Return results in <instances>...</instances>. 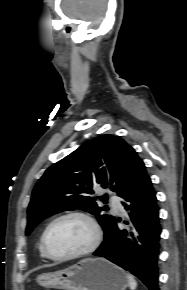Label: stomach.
Wrapping results in <instances>:
<instances>
[{
    "label": "stomach",
    "instance_id": "0dacf381",
    "mask_svg": "<svg viewBox=\"0 0 187 290\" xmlns=\"http://www.w3.org/2000/svg\"><path fill=\"white\" fill-rule=\"evenodd\" d=\"M46 288L59 290H125V272L104 258H87L66 269L37 275Z\"/></svg>",
    "mask_w": 187,
    "mask_h": 290
}]
</instances>
